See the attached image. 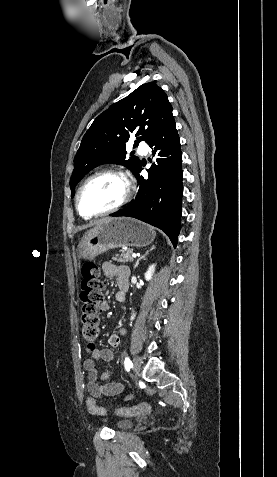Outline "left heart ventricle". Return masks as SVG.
I'll return each mask as SVG.
<instances>
[{"instance_id": "obj_1", "label": "left heart ventricle", "mask_w": 277, "mask_h": 477, "mask_svg": "<svg viewBox=\"0 0 277 477\" xmlns=\"http://www.w3.org/2000/svg\"><path fill=\"white\" fill-rule=\"evenodd\" d=\"M125 193L124 181L114 175H102L90 181L81 195L84 213H98L116 205Z\"/></svg>"}]
</instances>
